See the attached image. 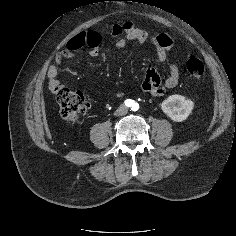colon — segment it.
<instances>
[{
    "instance_id": "colon-1",
    "label": "colon",
    "mask_w": 236,
    "mask_h": 236,
    "mask_svg": "<svg viewBox=\"0 0 236 236\" xmlns=\"http://www.w3.org/2000/svg\"><path fill=\"white\" fill-rule=\"evenodd\" d=\"M185 65L188 74L192 78L200 79L203 77L205 66L200 59L189 57ZM55 94L63 120L75 122L86 111L87 101L82 93L61 87Z\"/></svg>"
}]
</instances>
